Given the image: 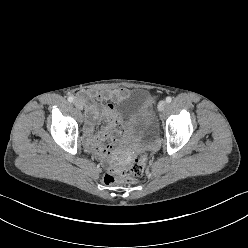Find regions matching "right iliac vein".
I'll use <instances>...</instances> for the list:
<instances>
[{"label":"right iliac vein","mask_w":248,"mask_h":248,"mask_svg":"<svg viewBox=\"0 0 248 248\" xmlns=\"http://www.w3.org/2000/svg\"><path fill=\"white\" fill-rule=\"evenodd\" d=\"M73 104L76 106V108L82 110L83 109V102L79 99H75Z\"/></svg>","instance_id":"right-iliac-vein-1"}]
</instances>
